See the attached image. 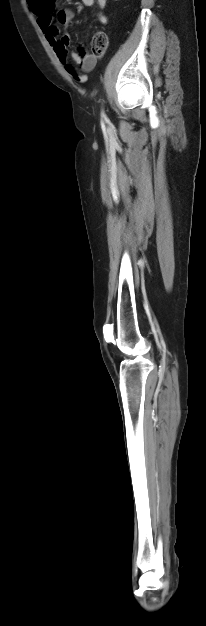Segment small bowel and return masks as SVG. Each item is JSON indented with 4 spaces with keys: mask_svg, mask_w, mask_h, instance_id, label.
Returning <instances> with one entry per match:
<instances>
[{
    "mask_svg": "<svg viewBox=\"0 0 206 626\" xmlns=\"http://www.w3.org/2000/svg\"><path fill=\"white\" fill-rule=\"evenodd\" d=\"M82 2L85 6H94L96 4L100 9H104L107 4V0H82ZM28 4L37 16L39 27L44 32L49 45L53 48L66 72L76 81L82 82L81 76H85L84 73L94 69L97 59L93 54L79 48L78 51L71 52L70 56L80 70L76 69L69 62L71 40L67 34H60L59 27L68 25L73 19V12L70 9H62L55 15L54 0H28ZM97 20L103 25L108 23L107 16L102 12L97 14Z\"/></svg>",
    "mask_w": 206,
    "mask_h": 626,
    "instance_id": "small-bowel-1",
    "label": "small bowel"
}]
</instances>
